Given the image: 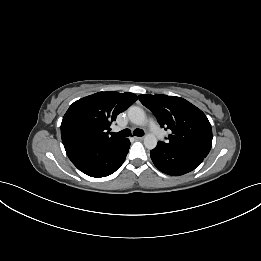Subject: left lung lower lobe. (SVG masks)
I'll use <instances>...</instances> for the list:
<instances>
[{
	"instance_id": "1",
	"label": "left lung lower lobe",
	"mask_w": 261,
	"mask_h": 261,
	"mask_svg": "<svg viewBox=\"0 0 261 261\" xmlns=\"http://www.w3.org/2000/svg\"><path fill=\"white\" fill-rule=\"evenodd\" d=\"M154 165L163 173L179 176L198 167L205 157L184 150L172 149L162 144L150 152Z\"/></svg>"
}]
</instances>
